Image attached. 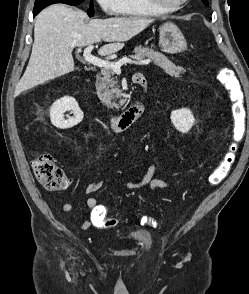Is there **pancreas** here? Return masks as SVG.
Masks as SVG:
<instances>
[{
    "label": "pancreas",
    "mask_w": 249,
    "mask_h": 294,
    "mask_svg": "<svg viewBox=\"0 0 249 294\" xmlns=\"http://www.w3.org/2000/svg\"><path fill=\"white\" fill-rule=\"evenodd\" d=\"M134 53L140 58H149L155 65L159 66L171 76L179 77L180 74L185 72L184 68L176 66L165 55L153 49L139 46L134 49ZM101 75L102 77L98 76L96 80L97 95L100 100L108 108L115 107L119 109L123 107L126 100L122 99L123 94L115 80V72L110 68H104L101 71ZM118 99L120 100L117 101Z\"/></svg>",
    "instance_id": "1"
}]
</instances>
